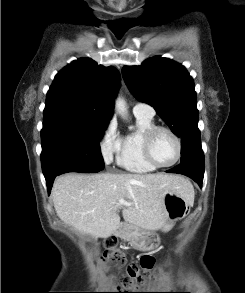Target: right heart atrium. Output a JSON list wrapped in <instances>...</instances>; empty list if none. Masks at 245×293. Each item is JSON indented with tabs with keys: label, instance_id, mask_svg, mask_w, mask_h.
<instances>
[{
	"label": "right heart atrium",
	"instance_id": "obj_1",
	"mask_svg": "<svg viewBox=\"0 0 245 293\" xmlns=\"http://www.w3.org/2000/svg\"><path fill=\"white\" fill-rule=\"evenodd\" d=\"M122 145V138L114 120H110L102 129L99 138V147L103 159L110 163L115 154H118Z\"/></svg>",
	"mask_w": 245,
	"mask_h": 293
}]
</instances>
